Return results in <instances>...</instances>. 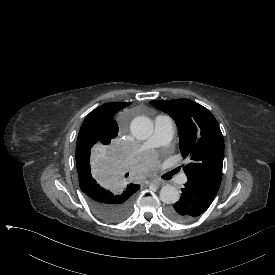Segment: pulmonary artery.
Listing matches in <instances>:
<instances>
[{
  "label": "pulmonary artery",
  "instance_id": "1",
  "mask_svg": "<svg viewBox=\"0 0 275 275\" xmlns=\"http://www.w3.org/2000/svg\"><path fill=\"white\" fill-rule=\"evenodd\" d=\"M155 123V132L153 136L148 140L147 143L142 145V148H139L138 151L133 152L131 157H128V160L134 159V157L143 153L144 150H147L149 146H158L162 144L163 150L166 153H171L174 150L173 143V130L174 123L169 116H157L154 120ZM187 177L183 175L182 182H186Z\"/></svg>",
  "mask_w": 275,
  "mask_h": 275
}]
</instances>
